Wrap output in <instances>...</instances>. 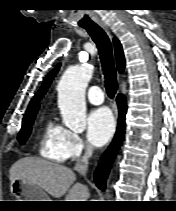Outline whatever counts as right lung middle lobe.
Listing matches in <instances>:
<instances>
[{"mask_svg":"<svg viewBox=\"0 0 176 211\" xmlns=\"http://www.w3.org/2000/svg\"><path fill=\"white\" fill-rule=\"evenodd\" d=\"M36 113L24 116L23 122H22V128L21 131L17 137L18 141L23 144L29 137L32 129V124L34 121Z\"/></svg>","mask_w":176,"mask_h":211,"instance_id":"right-lung-middle-lobe-1","label":"right lung middle lobe"}]
</instances>
